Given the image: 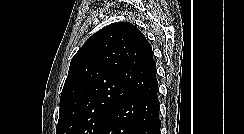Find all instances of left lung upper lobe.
I'll list each match as a JSON object with an SVG mask.
<instances>
[{
	"mask_svg": "<svg viewBox=\"0 0 244 134\" xmlns=\"http://www.w3.org/2000/svg\"><path fill=\"white\" fill-rule=\"evenodd\" d=\"M158 86L152 47L134 25L93 34L71 60L56 134H99L114 110Z\"/></svg>",
	"mask_w": 244,
	"mask_h": 134,
	"instance_id": "obj_1",
	"label": "left lung upper lobe"
}]
</instances>
